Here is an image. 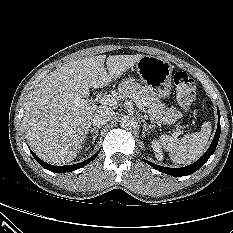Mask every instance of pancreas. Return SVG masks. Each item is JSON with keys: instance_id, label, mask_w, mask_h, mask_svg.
<instances>
[{"instance_id": "pancreas-1", "label": "pancreas", "mask_w": 233, "mask_h": 233, "mask_svg": "<svg viewBox=\"0 0 233 233\" xmlns=\"http://www.w3.org/2000/svg\"><path fill=\"white\" fill-rule=\"evenodd\" d=\"M115 93L120 100L130 98L136 103H140L142 107L149 108L148 115L152 121L172 124L180 115V112L174 107L166 108L146 87L133 81H122Z\"/></svg>"}]
</instances>
